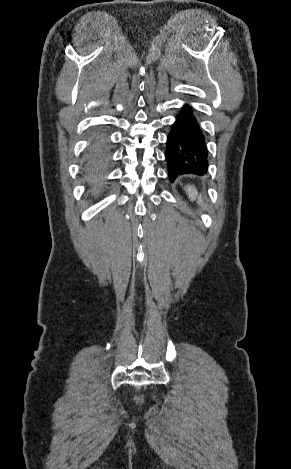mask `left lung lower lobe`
<instances>
[{"label":"left lung lower lobe","instance_id":"0a47b994","mask_svg":"<svg viewBox=\"0 0 291 469\" xmlns=\"http://www.w3.org/2000/svg\"><path fill=\"white\" fill-rule=\"evenodd\" d=\"M166 146V161L171 181L178 175L207 173L208 150L205 137L187 104L176 116Z\"/></svg>","mask_w":291,"mask_h":469}]
</instances>
